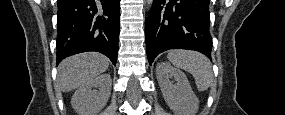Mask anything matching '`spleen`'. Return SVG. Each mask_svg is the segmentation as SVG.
<instances>
[{"mask_svg":"<svg viewBox=\"0 0 285 115\" xmlns=\"http://www.w3.org/2000/svg\"><path fill=\"white\" fill-rule=\"evenodd\" d=\"M167 58L175 67L192 74L199 91H206L211 86L212 65L205 55L190 50H172Z\"/></svg>","mask_w":285,"mask_h":115,"instance_id":"obj_1","label":"spleen"}]
</instances>
